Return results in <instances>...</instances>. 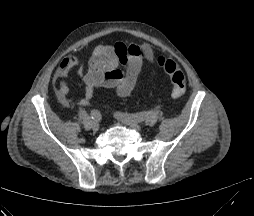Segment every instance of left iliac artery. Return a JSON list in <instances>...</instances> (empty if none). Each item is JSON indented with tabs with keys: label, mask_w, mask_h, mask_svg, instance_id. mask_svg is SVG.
I'll list each match as a JSON object with an SVG mask.
<instances>
[{
	"label": "left iliac artery",
	"mask_w": 254,
	"mask_h": 216,
	"mask_svg": "<svg viewBox=\"0 0 254 216\" xmlns=\"http://www.w3.org/2000/svg\"><path fill=\"white\" fill-rule=\"evenodd\" d=\"M128 117H130L131 119L137 121V122H141L144 121L145 118L147 117L145 112H141V113H136V114H125Z\"/></svg>",
	"instance_id": "left-iliac-artery-1"
}]
</instances>
